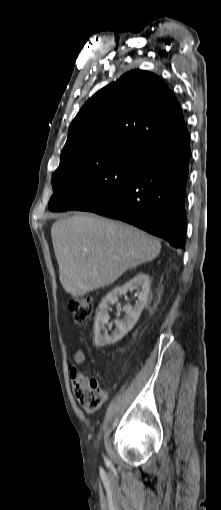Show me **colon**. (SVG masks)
I'll return each mask as SVG.
<instances>
[{"label":"colon","mask_w":221,"mask_h":510,"mask_svg":"<svg viewBox=\"0 0 221 510\" xmlns=\"http://www.w3.org/2000/svg\"><path fill=\"white\" fill-rule=\"evenodd\" d=\"M69 310L76 323H84L92 311V302L89 298H78L70 301ZM78 379L81 385L79 402L87 410L99 409L105 399V394L96 379L86 373H79Z\"/></svg>","instance_id":"5ec220e1"}]
</instances>
